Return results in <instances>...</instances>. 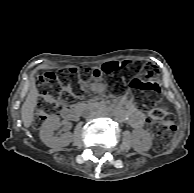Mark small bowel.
Instances as JSON below:
<instances>
[{
    "label": "small bowel",
    "mask_w": 194,
    "mask_h": 193,
    "mask_svg": "<svg viewBox=\"0 0 194 193\" xmlns=\"http://www.w3.org/2000/svg\"><path fill=\"white\" fill-rule=\"evenodd\" d=\"M125 104L127 107L128 115H129V123L136 129H141L145 123V116L143 113L138 111L131 100L126 99Z\"/></svg>",
    "instance_id": "obj_1"
}]
</instances>
